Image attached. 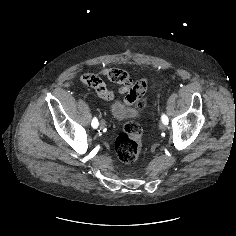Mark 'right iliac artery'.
<instances>
[{
	"label": "right iliac artery",
	"mask_w": 236,
	"mask_h": 236,
	"mask_svg": "<svg viewBox=\"0 0 236 236\" xmlns=\"http://www.w3.org/2000/svg\"><path fill=\"white\" fill-rule=\"evenodd\" d=\"M91 125H92L93 128H97L98 125H99L98 120H97L96 118H94V119L92 120Z\"/></svg>",
	"instance_id": "1"
}]
</instances>
